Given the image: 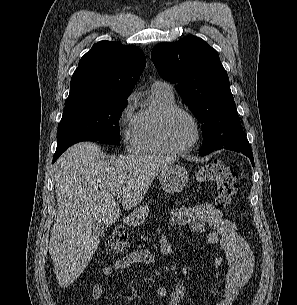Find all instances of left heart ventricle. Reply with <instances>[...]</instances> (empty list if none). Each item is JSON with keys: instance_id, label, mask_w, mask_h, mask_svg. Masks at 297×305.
I'll return each mask as SVG.
<instances>
[{"instance_id": "obj_1", "label": "left heart ventricle", "mask_w": 297, "mask_h": 305, "mask_svg": "<svg viewBox=\"0 0 297 305\" xmlns=\"http://www.w3.org/2000/svg\"><path fill=\"white\" fill-rule=\"evenodd\" d=\"M167 137L175 147L189 145L195 137L193 122L182 113L173 115L167 123Z\"/></svg>"}]
</instances>
